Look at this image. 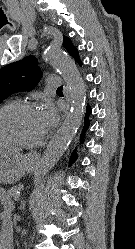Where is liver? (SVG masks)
Returning <instances> with one entry per match:
<instances>
[{
	"label": "liver",
	"instance_id": "1",
	"mask_svg": "<svg viewBox=\"0 0 135 249\" xmlns=\"http://www.w3.org/2000/svg\"><path fill=\"white\" fill-rule=\"evenodd\" d=\"M11 150L18 151L17 149L11 148Z\"/></svg>",
	"mask_w": 135,
	"mask_h": 249
}]
</instances>
